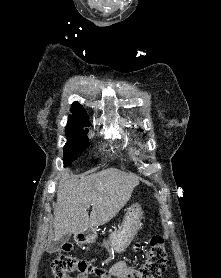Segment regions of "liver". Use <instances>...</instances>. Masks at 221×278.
<instances>
[{"mask_svg": "<svg viewBox=\"0 0 221 278\" xmlns=\"http://www.w3.org/2000/svg\"><path fill=\"white\" fill-rule=\"evenodd\" d=\"M138 184V177L115 168L79 180L71 178L67 171L62 172L54 205L53 241L110 221L129 201Z\"/></svg>", "mask_w": 221, "mask_h": 278, "instance_id": "obj_1", "label": "liver"}]
</instances>
